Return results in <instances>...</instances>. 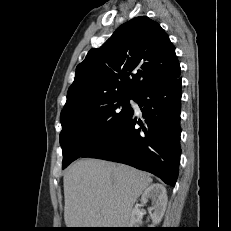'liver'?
<instances>
[{
  "label": "liver",
  "instance_id": "1",
  "mask_svg": "<svg viewBox=\"0 0 231 231\" xmlns=\"http://www.w3.org/2000/svg\"><path fill=\"white\" fill-rule=\"evenodd\" d=\"M152 183L145 172L98 159H81L64 174L68 228H127L133 205Z\"/></svg>",
  "mask_w": 231,
  "mask_h": 231
}]
</instances>
